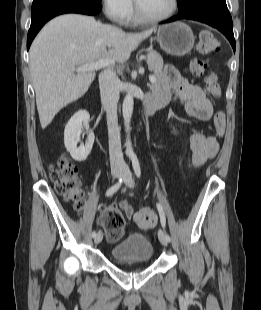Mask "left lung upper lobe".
Here are the masks:
<instances>
[{"label":"left lung upper lobe","instance_id":"5c2ea615","mask_svg":"<svg viewBox=\"0 0 261 310\" xmlns=\"http://www.w3.org/2000/svg\"><path fill=\"white\" fill-rule=\"evenodd\" d=\"M206 0H177L179 14L184 15L196 10Z\"/></svg>","mask_w":261,"mask_h":310}]
</instances>
